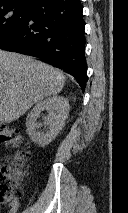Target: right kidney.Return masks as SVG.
Here are the masks:
<instances>
[{
  "mask_svg": "<svg viewBox=\"0 0 128 213\" xmlns=\"http://www.w3.org/2000/svg\"><path fill=\"white\" fill-rule=\"evenodd\" d=\"M70 106L63 96L54 95L39 101L26 118V131L30 139L41 147L48 145L65 125ZM46 110L48 116L44 122L38 123L37 118ZM47 128L46 132L39 131L40 127Z\"/></svg>",
  "mask_w": 128,
  "mask_h": 213,
  "instance_id": "ca27d5eb",
  "label": "right kidney"
}]
</instances>
